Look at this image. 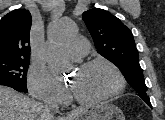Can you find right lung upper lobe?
Returning a JSON list of instances; mask_svg holds the SVG:
<instances>
[{
    "mask_svg": "<svg viewBox=\"0 0 165 120\" xmlns=\"http://www.w3.org/2000/svg\"><path fill=\"white\" fill-rule=\"evenodd\" d=\"M31 14L14 10L0 20V58L30 59Z\"/></svg>",
    "mask_w": 165,
    "mask_h": 120,
    "instance_id": "1",
    "label": "right lung upper lobe"
}]
</instances>
